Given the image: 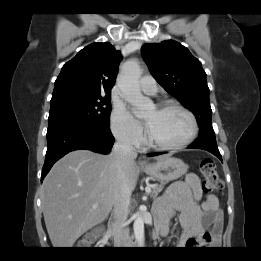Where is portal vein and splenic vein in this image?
<instances>
[{"label": "portal vein and splenic vein", "instance_id": "portal-vein-and-splenic-vein-1", "mask_svg": "<svg viewBox=\"0 0 261 261\" xmlns=\"http://www.w3.org/2000/svg\"><path fill=\"white\" fill-rule=\"evenodd\" d=\"M145 191H146L147 193H150V192H151V186H147V187L145 188Z\"/></svg>", "mask_w": 261, "mask_h": 261}]
</instances>
